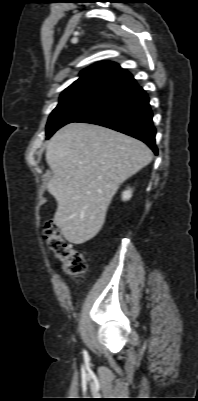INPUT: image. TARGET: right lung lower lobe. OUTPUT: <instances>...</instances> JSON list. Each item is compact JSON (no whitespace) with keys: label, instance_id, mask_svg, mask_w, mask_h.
Instances as JSON below:
<instances>
[{"label":"right lung lower lobe","instance_id":"obj_1","mask_svg":"<svg viewBox=\"0 0 198 401\" xmlns=\"http://www.w3.org/2000/svg\"><path fill=\"white\" fill-rule=\"evenodd\" d=\"M76 122L97 124L130 135L158 153L149 98L133 77L110 90L98 107Z\"/></svg>","mask_w":198,"mask_h":401}]
</instances>
